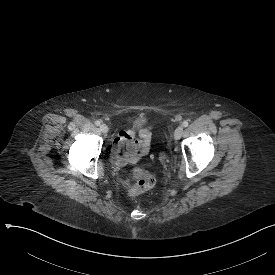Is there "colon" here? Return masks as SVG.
Returning a JSON list of instances; mask_svg holds the SVG:
<instances>
[{
	"instance_id": "1",
	"label": "colon",
	"mask_w": 275,
	"mask_h": 275,
	"mask_svg": "<svg viewBox=\"0 0 275 275\" xmlns=\"http://www.w3.org/2000/svg\"><path fill=\"white\" fill-rule=\"evenodd\" d=\"M132 176L135 180V183L132 184L129 188V195L131 197L150 190L155 184L154 175L145 168H135L132 172Z\"/></svg>"
}]
</instances>
